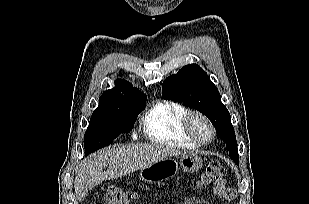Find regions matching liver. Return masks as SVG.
I'll return each instance as SVG.
<instances>
[{"mask_svg": "<svg viewBox=\"0 0 309 204\" xmlns=\"http://www.w3.org/2000/svg\"><path fill=\"white\" fill-rule=\"evenodd\" d=\"M185 152L158 144H129L108 147L82 161L74 181L77 199L83 200L104 180H113ZM109 165L106 171L103 169Z\"/></svg>", "mask_w": 309, "mask_h": 204, "instance_id": "liver-1", "label": "liver"}]
</instances>
